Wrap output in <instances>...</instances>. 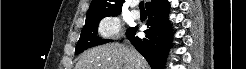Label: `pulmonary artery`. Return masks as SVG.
Instances as JSON below:
<instances>
[{
  "mask_svg": "<svg viewBox=\"0 0 246 69\" xmlns=\"http://www.w3.org/2000/svg\"><path fill=\"white\" fill-rule=\"evenodd\" d=\"M131 16H132L133 18L137 19V18L140 17V13H139V11H137V10H133V11L131 12Z\"/></svg>",
  "mask_w": 246,
  "mask_h": 69,
  "instance_id": "1",
  "label": "pulmonary artery"
}]
</instances>
